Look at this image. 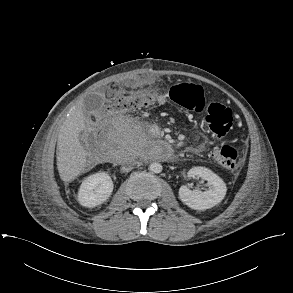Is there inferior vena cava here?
<instances>
[{
    "mask_svg": "<svg viewBox=\"0 0 293 293\" xmlns=\"http://www.w3.org/2000/svg\"><path fill=\"white\" fill-rule=\"evenodd\" d=\"M135 163H136V161H130L125 166H123L121 170L123 172H129L133 169V164H135Z\"/></svg>",
    "mask_w": 293,
    "mask_h": 293,
    "instance_id": "obj_1",
    "label": "inferior vena cava"
}]
</instances>
